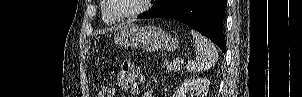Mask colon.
I'll use <instances>...</instances> for the list:
<instances>
[{
	"mask_svg": "<svg viewBox=\"0 0 302 97\" xmlns=\"http://www.w3.org/2000/svg\"><path fill=\"white\" fill-rule=\"evenodd\" d=\"M98 97H113V89L109 86L102 87L98 92Z\"/></svg>",
	"mask_w": 302,
	"mask_h": 97,
	"instance_id": "5ec220e1",
	"label": "colon"
}]
</instances>
